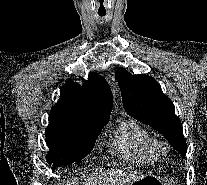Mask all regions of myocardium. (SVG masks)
Returning <instances> with one entry per match:
<instances>
[{
  "instance_id": "myocardium-1",
  "label": "myocardium",
  "mask_w": 207,
  "mask_h": 185,
  "mask_svg": "<svg viewBox=\"0 0 207 185\" xmlns=\"http://www.w3.org/2000/svg\"><path fill=\"white\" fill-rule=\"evenodd\" d=\"M159 148H160L162 153L168 152V145H166L165 143H160Z\"/></svg>"
}]
</instances>
